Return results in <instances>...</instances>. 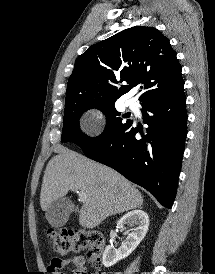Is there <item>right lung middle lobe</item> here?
Wrapping results in <instances>:
<instances>
[{"mask_svg": "<svg viewBox=\"0 0 215 274\" xmlns=\"http://www.w3.org/2000/svg\"><path fill=\"white\" fill-rule=\"evenodd\" d=\"M115 102H78L65 105L62 141H71L79 145L83 150L100 145L119 130L126 127L131 121H123L120 113L114 107ZM96 108L106 116V127L103 133L95 138H90L81 132L79 118L88 109Z\"/></svg>", "mask_w": 215, "mask_h": 274, "instance_id": "obj_1", "label": "right lung middle lobe"}]
</instances>
